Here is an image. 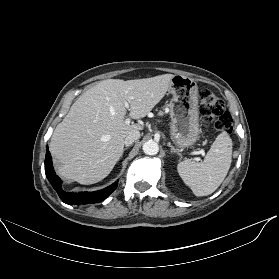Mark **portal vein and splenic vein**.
Returning a JSON list of instances; mask_svg holds the SVG:
<instances>
[{"instance_id": "18ae733b", "label": "portal vein and splenic vein", "mask_w": 279, "mask_h": 279, "mask_svg": "<svg viewBox=\"0 0 279 279\" xmlns=\"http://www.w3.org/2000/svg\"><path fill=\"white\" fill-rule=\"evenodd\" d=\"M124 105H125L126 108H129V104H128L127 101H125ZM130 122H131L130 118L125 119L126 124H130Z\"/></svg>"}]
</instances>
